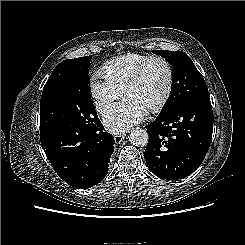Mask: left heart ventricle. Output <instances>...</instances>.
<instances>
[{"instance_id":"obj_1","label":"left heart ventricle","mask_w":245,"mask_h":245,"mask_svg":"<svg viewBox=\"0 0 245 245\" xmlns=\"http://www.w3.org/2000/svg\"><path fill=\"white\" fill-rule=\"evenodd\" d=\"M166 86V68L161 62L154 61L148 65L140 81L127 91L126 97H132L150 109L160 101Z\"/></svg>"}]
</instances>
